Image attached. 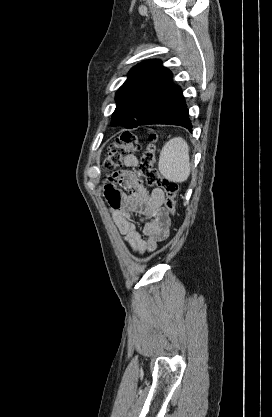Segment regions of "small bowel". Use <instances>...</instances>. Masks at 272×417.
<instances>
[{"mask_svg": "<svg viewBox=\"0 0 272 417\" xmlns=\"http://www.w3.org/2000/svg\"><path fill=\"white\" fill-rule=\"evenodd\" d=\"M124 165L131 169L114 173L104 187V194L124 242L134 253L152 252L169 236L171 219L163 207L164 194L159 188L145 186L136 156L128 155ZM136 219L143 223L141 231L137 229Z\"/></svg>", "mask_w": 272, "mask_h": 417, "instance_id": "obj_1", "label": "small bowel"}]
</instances>
